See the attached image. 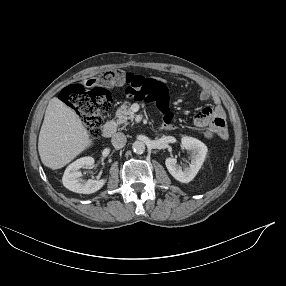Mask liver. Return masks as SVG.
<instances>
[{
    "label": "liver",
    "instance_id": "obj_1",
    "mask_svg": "<svg viewBox=\"0 0 286 286\" xmlns=\"http://www.w3.org/2000/svg\"><path fill=\"white\" fill-rule=\"evenodd\" d=\"M92 144L89 132L76 113L59 98H52L39 133L42 163L51 169H60Z\"/></svg>",
    "mask_w": 286,
    "mask_h": 286
}]
</instances>
